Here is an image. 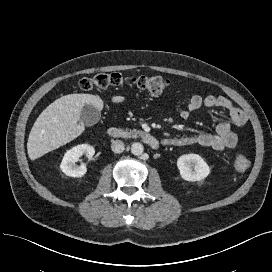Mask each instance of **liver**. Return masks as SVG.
Listing matches in <instances>:
<instances>
[{"mask_svg": "<svg viewBox=\"0 0 272 272\" xmlns=\"http://www.w3.org/2000/svg\"><path fill=\"white\" fill-rule=\"evenodd\" d=\"M123 96L112 97V102L121 103ZM85 104L94 105L99 111L103 109V100L92 94H68L51 103L35 121L28 138L27 151L31 160L42 157L84 132L80 121Z\"/></svg>", "mask_w": 272, "mask_h": 272, "instance_id": "6515ba94", "label": "liver"}]
</instances>
